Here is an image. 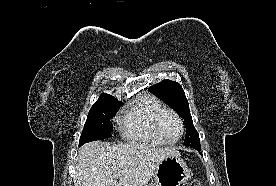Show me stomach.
I'll return each instance as SVG.
<instances>
[{"label": "stomach", "mask_w": 276, "mask_h": 186, "mask_svg": "<svg viewBox=\"0 0 276 186\" xmlns=\"http://www.w3.org/2000/svg\"><path fill=\"white\" fill-rule=\"evenodd\" d=\"M190 178V169L180 154L165 158L155 172L154 186H184Z\"/></svg>", "instance_id": "obj_1"}]
</instances>
